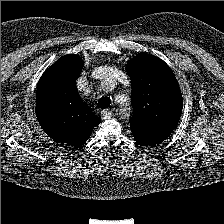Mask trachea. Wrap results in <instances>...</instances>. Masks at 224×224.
Returning a JSON list of instances; mask_svg holds the SVG:
<instances>
[{
	"label": "trachea",
	"instance_id": "obj_1",
	"mask_svg": "<svg viewBox=\"0 0 224 224\" xmlns=\"http://www.w3.org/2000/svg\"><path fill=\"white\" fill-rule=\"evenodd\" d=\"M111 100L109 97H102L98 102V107L100 109H105L110 107Z\"/></svg>",
	"mask_w": 224,
	"mask_h": 224
}]
</instances>
